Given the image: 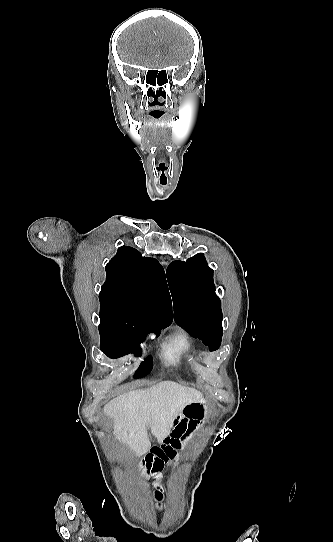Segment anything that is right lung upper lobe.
<instances>
[{"label":"right lung upper lobe","mask_w":333,"mask_h":542,"mask_svg":"<svg viewBox=\"0 0 333 542\" xmlns=\"http://www.w3.org/2000/svg\"><path fill=\"white\" fill-rule=\"evenodd\" d=\"M105 270L106 281L99 293L100 313L139 318L150 328L171 324V298L164 269L156 259L122 246Z\"/></svg>","instance_id":"right-lung-upper-lobe-1"}]
</instances>
